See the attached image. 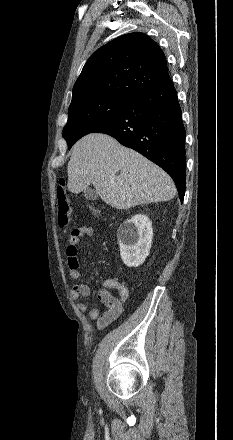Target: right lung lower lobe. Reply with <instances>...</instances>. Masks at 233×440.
Here are the masks:
<instances>
[{"instance_id":"1","label":"right lung lower lobe","mask_w":233,"mask_h":440,"mask_svg":"<svg viewBox=\"0 0 233 440\" xmlns=\"http://www.w3.org/2000/svg\"><path fill=\"white\" fill-rule=\"evenodd\" d=\"M93 133L108 134L163 168L185 194V129L177 93L169 79L142 91Z\"/></svg>"}]
</instances>
